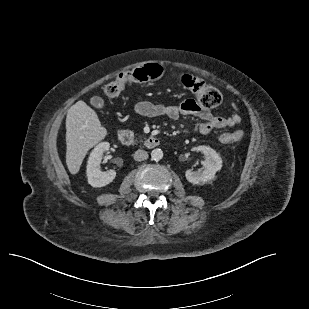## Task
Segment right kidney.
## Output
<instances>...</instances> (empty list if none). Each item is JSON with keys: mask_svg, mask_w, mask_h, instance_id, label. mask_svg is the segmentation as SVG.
Here are the masks:
<instances>
[{"mask_svg": "<svg viewBox=\"0 0 309 309\" xmlns=\"http://www.w3.org/2000/svg\"><path fill=\"white\" fill-rule=\"evenodd\" d=\"M110 144L108 142L99 143L90 153L88 163H87V178L88 183L92 187H103L111 183L115 177L116 172L114 170H109L106 172L101 171V160L103 153L108 151Z\"/></svg>", "mask_w": 309, "mask_h": 309, "instance_id": "1", "label": "right kidney"}]
</instances>
